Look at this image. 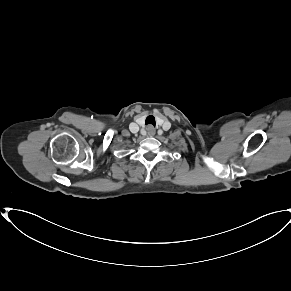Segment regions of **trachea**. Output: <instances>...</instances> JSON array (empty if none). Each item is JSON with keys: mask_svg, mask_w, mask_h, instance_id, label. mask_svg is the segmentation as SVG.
Segmentation results:
<instances>
[{"mask_svg": "<svg viewBox=\"0 0 291 291\" xmlns=\"http://www.w3.org/2000/svg\"><path fill=\"white\" fill-rule=\"evenodd\" d=\"M145 123H146V125H147V124H152V125L155 126V118H154V116H152V115L148 116V117L146 118Z\"/></svg>", "mask_w": 291, "mask_h": 291, "instance_id": "obj_1", "label": "trachea"}]
</instances>
